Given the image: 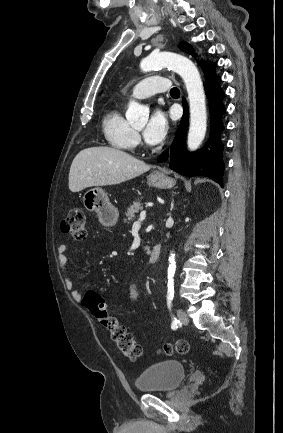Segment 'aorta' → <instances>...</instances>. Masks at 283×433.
I'll return each mask as SVG.
<instances>
[{
	"label": "aorta",
	"instance_id": "obj_1",
	"mask_svg": "<svg viewBox=\"0 0 283 433\" xmlns=\"http://www.w3.org/2000/svg\"><path fill=\"white\" fill-rule=\"evenodd\" d=\"M140 68L144 72L157 68H170L182 77L188 93L190 110L187 145L190 151L198 149L207 130V112L204 87L197 67L191 60L182 55L171 52H153L141 61ZM148 116V108L134 101L128 104L126 112L128 121L144 123ZM175 270V254L171 252L168 266V286H172L174 283Z\"/></svg>",
	"mask_w": 283,
	"mask_h": 433
}]
</instances>
